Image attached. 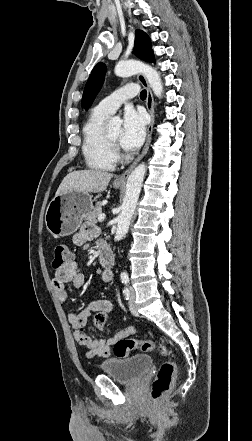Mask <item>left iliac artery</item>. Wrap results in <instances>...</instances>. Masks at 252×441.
Segmentation results:
<instances>
[{"label":"left iliac artery","mask_w":252,"mask_h":441,"mask_svg":"<svg viewBox=\"0 0 252 441\" xmlns=\"http://www.w3.org/2000/svg\"><path fill=\"white\" fill-rule=\"evenodd\" d=\"M120 277H121L122 283L127 284L129 282V277H128L127 273H125V272L121 273Z\"/></svg>","instance_id":"44dca946"}]
</instances>
